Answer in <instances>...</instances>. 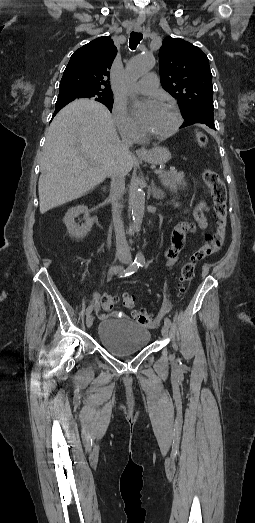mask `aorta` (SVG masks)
Wrapping results in <instances>:
<instances>
[{
	"instance_id": "1",
	"label": "aorta",
	"mask_w": 255,
	"mask_h": 523,
	"mask_svg": "<svg viewBox=\"0 0 255 523\" xmlns=\"http://www.w3.org/2000/svg\"><path fill=\"white\" fill-rule=\"evenodd\" d=\"M155 65V58L151 54H144L135 56L127 65L125 72V82L130 89L133 83H135L141 76L149 72ZM130 93V97L134 99V95ZM131 204H132V219L133 225L137 230L140 229L144 211H145V194L139 182L136 183L135 187L131 191ZM137 260H143L144 256L141 252L136 255Z\"/></svg>"
}]
</instances>
